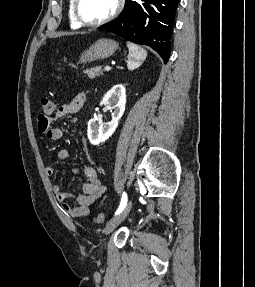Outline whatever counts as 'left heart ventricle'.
Segmentation results:
<instances>
[{
  "label": "left heart ventricle",
  "instance_id": "b2bd125f",
  "mask_svg": "<svg viewBox=\"0 0 255 287\" xmlns=\"http://www.w3.org/2000/svg\"><path fill=\"white\" fill-rule=\"evenodd\" d=\"M98 33H105V32H98ZM107 48H113V47H107Z\"/></svg>",
  "mask_w": 255,
  "mask_h": 287
}]
</instances>
